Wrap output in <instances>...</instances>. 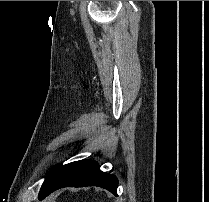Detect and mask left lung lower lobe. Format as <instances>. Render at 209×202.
I'll return each instance as SVG.
<instances>
[{
    "label": "left lung lower lobe",
    "mask_w": 209,
    "mask_h": 202,
    "mask_svg": "<svg viewBox=\"0 0 209 202\" xmlns=\"http://www.w3.org/2000/svg\"><path fill=\"white\" fill-rule=\"evenodd\" d=\"M97 186L117 195L118 180L114 175L102 172L97 162L81 160L57 165L48 173L39 192V200L63 187Z\"/></svg>",
    "instance_id": "left-lung-lower-lobe-1"
}]
</instances>
